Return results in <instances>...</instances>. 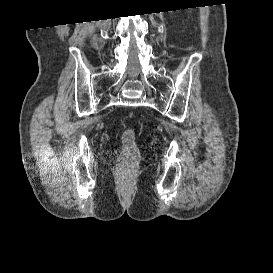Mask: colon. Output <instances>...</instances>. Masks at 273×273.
<instances>
[{"label":"colon","instance_id":"colon-1","mask_svg":"<svg viewBox=\"0 0 273 273\" xmlns=\"http://www.w3.org/2000/svg\"><path fill=\"white\" fill-rule=\"evenodd\" d=\"M121 139L123 148L119 157V170L123 173H127L133 168L138 158L134 131L129 128L125 129L122 132Z\"/></svg>","mask_w":273,"mask_h":273}]
</instances>
